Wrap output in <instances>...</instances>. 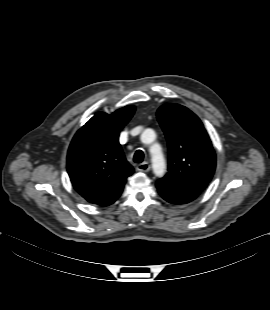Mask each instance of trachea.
Masks as SVG:
<instances>
[{
  "label": "trachea",
  "instance_id": "trachea-1",
  "mask_svg": "<svg viewBox=\"0 0 270 310\" xmlns=\"http://www.w3.org/2000/svg\"><path fill=\"white\" fill-rule=\"evenodd\" d=\"M144 160V153L142 150H137L135 151L134 155H133V161L135 163H141Z\"/></svg>",
  "mask_w": 270,
  "mask_h": 310
}]
</instances>
